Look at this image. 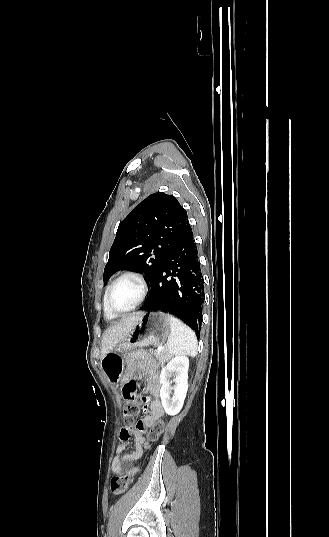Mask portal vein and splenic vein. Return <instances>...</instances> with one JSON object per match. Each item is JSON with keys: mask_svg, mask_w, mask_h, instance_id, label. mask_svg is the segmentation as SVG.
I'll return each instance as SVG.
<instances>
[{"mask_svg": "<svg viewBox=\"0 0 329 537\" xmlns=\"http://www.w3.org/2000/svg\"><path fill=\"white\" fill-rule=\"evenodd\" d=\"M163 350V347H158V351H162Z\"/></svg>", "mask_w": 329, "mask_h": 537, "instance_id": "1", "label": "portal vein and splenic vein"}]
</instances>
